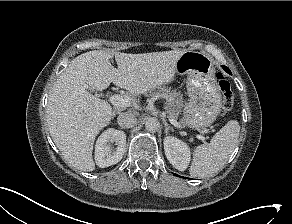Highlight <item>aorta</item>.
I'll use <instances>...</instances> for the list:
<instances>
[{
  "instance_id": "obj_1",
  "label": "aorta",
  "mask_w": 292,
  "mask_h": 224,
  "mask_svg": "<svg viewBox=\"0 0 292 224\" xmlns=\"http://www.w3.org/2000/svg\"><path fill=\"white\" fill-rule=\"evenodd\" d=\"M145 128L149 132H155L159 128V121L156 118H149L145 123Z\"/></svg>"
}]
</instances>
